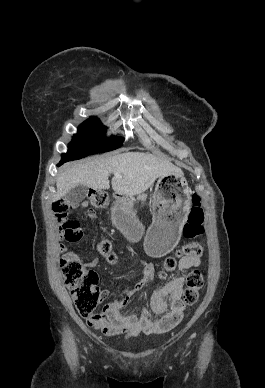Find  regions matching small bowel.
I'll return each instance as SVG.
<instances>
[{"instance_id":"1","label":"small bowel","mask_w":265,"mask_h":388,"mask_svg":"<svg viewBox=\"0 0 265 388\" xmlns=\"http://www.w3.org/2000/svg\"><path fill=\"white\" fill-rule=\"evenodd\" d=\"M80 208H87L88 201H82L78 204ZM88 217L96 218L92 210H88ZM59 251L65 252L64 258L76 259V256L67 252L63 245L58 246ZM98 263L96 258H91L83 262L84 266L94 267ZM201 264L200 257L184 256L179 261L180 273L167 282L161 289L157 290L150 302V309L144 308L139 314L123 313L122 308L129 299L137 292L144 289L152 279L154 265L148 261H142L143 277L132 287L119 294V296L107 303L102 313L103 320L99 324L89 323L91 326L101 330L106 336L117 337L126 335L137 337L142 333L151 334L156 332H167L174 328L182 319L185 312V306L181 300L186 271ZM107 289L101 291L100 300L109 296ZM154 316H158L155 319Z\"/></svg>"}]
</instances>
